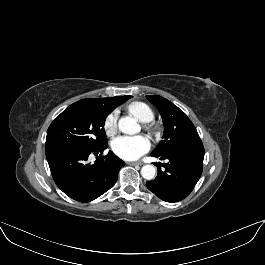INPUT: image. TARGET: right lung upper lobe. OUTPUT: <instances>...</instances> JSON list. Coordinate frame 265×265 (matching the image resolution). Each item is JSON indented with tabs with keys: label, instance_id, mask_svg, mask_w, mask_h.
Segmentation results:
<instances>
[{
	"label": "right lung upper lobe",
	"instance_id": "1",
	"mask_svg": "<svg viewBox=\"0 0 265 265\" xmlns=\"http://www.w3.org/2000/svg\"><path fill=\"white\" fill-rule=\"evenodd\" d=\"M129 97L130 96H116V97H107V98H90V99H85V100L97 102V103L111 109V111H112L116 106H118L119 104H121L125 100L129 99Z\"/></svg>",
	"mask_w": 265,
	"mask_h": 265
}]
</instances>
